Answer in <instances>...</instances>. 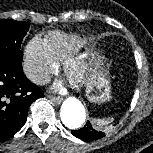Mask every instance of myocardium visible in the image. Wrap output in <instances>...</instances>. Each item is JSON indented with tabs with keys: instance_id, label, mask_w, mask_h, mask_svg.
Returning a JSON list of instances; mask_svg holds the SVG:
<instances>
[{
	"instance_id": "myocardium-1",
	"label": "myocardium",
	"mask_w": 153,
	"mask_h": 153,
	"mask_svg": "<svg viewBox=\"0 0 153 153\" xmlns=\"http://www.w3.org/2000/svg\"><path fill=\"white\" fill-rule=\"evenodd\" d=\"M65 74L74 86L81 85L87 76L88 66L83 60L70 59L65 63Z\"/></svg>"
}]
</instances>
